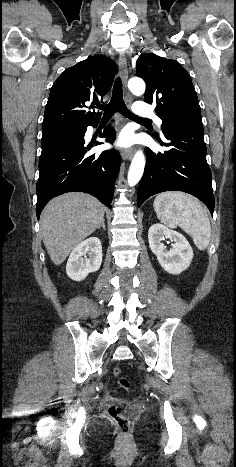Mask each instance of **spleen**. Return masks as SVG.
<instances>
[{
	"label": "spleen",
	"instance_id": "spleen-1",
	"mask_svg": "<svg viewBox=\"0 0 236 467\" xmlns=\"http://www.w3.org/2000/svg\"><path fill=\"white\" fill-rule=\"evenodd\" d=\"M153 206L162 223L170 228L179 226L193 238L198 249L207 248L211 225L198 200L182 192H164L155 198Z\"/></svg>",
	"mask_w": 236,
	"mask_h": 467
}]
</instances>
